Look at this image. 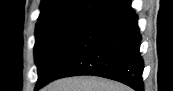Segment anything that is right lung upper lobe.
<instances>
[{
  "mask_svg": "<svg viewBox=\"0 0 173 91\" xmlns=\"http://www.w3.org/2000/svg\"><path fill=\"white\" fill-rule=\"evenodd\" d=\"M104 1L108 0H42L37 25L71 19L89 20L108 7ZM109 1L115 3L119 0Z\"/></svg>",
  "mask_w": 173,
  "mask_h": 91,
  "instance_id": "cb5924a9",
  "label": "right lung upper lobe"
}]
</instances>
